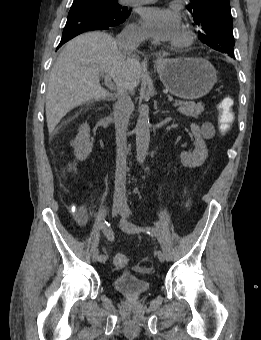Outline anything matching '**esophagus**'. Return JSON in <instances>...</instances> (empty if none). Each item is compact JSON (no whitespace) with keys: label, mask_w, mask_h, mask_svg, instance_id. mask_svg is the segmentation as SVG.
Wrapping results in <instances>:
<instances>
[{"label":"esophagus","mask_w":261,"mask_h":340,"mask_svg":"<svg viewBox=\"0 0 261 340\" xmlns=\"http://www.w3.org/2000/svg\"><path fill=\"white\" fill-rule=\"evenodd\" d=\"M155 55H156V61L157 62H161L162 61V57L158 53H156Z\"/></svg>","instance_id":"obj_1"}]
</instances>
